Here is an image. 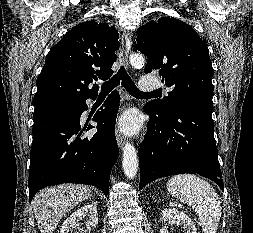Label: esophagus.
<instances>
[{
    "mask_svg": "<svg viewBox=\"0 0 253 233\" xmlns=\"http://www.w3.org/2000/svg\"><path fill=\"white\" fill-rule=\"evenodd\" d=\"M122 44L124 46V64L126 68L128 67V55L132 46V32L130 30H125L122 34ZM116 140L118 146L121 148L124 145V138L120 131L116 129Z\"/></svg>",
    "mask_w": 253,
    "mask_h": 233,
    "instance_id": "34e87169",
    "label": "esophagus"
}]
</instances>
